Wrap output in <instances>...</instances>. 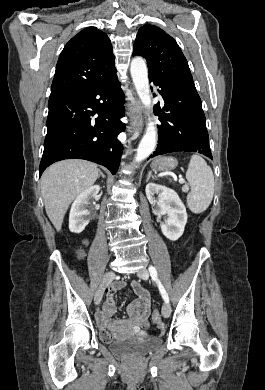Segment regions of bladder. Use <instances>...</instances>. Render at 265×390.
I'll list each match as a JSON object with an SVG mask.
<instances>
[{
	"instance_id": "31cf9c89",
	"label": "bladder",
	"mask_w": 265,
	"mask_h": 390,
	"mask_svg": "<svg viewBox=\"0 0 265 390\" xmlns=\"http://www.w3.org/2000/svg\"><path fill=\"white\" fill-rule=\"evenodd\" d=\"M161 345L159 337H148L144 340H114L108 346L116 354L123 356H137L150 352Z\"/></svg>"
}]
</instances>
